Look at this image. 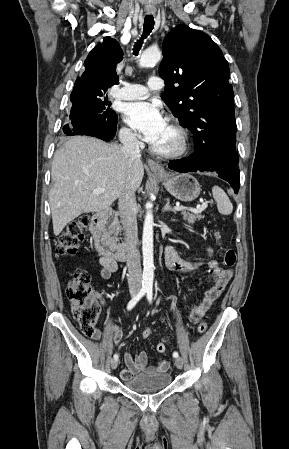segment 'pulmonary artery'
Here are the masks:
<instances>
[{
    "label": "pulmonary artery",
    "instance_id": "pulmonary-artery-1",
    "mask_svg": "<svg viewBox=\"0 0 289 449\" xmlns=\"http://www.w3.org/2000/svg\"><path fill=\"white\" fill-rule=\"evenodd\" d=\"M164 82L160 77H151L147 86L140 84L124 83L123 87L112 91V96L122 100L143 99L148 96L149 91L160 90Z\"/></svg>",
    "mask_w": 289,
    "mask_h": 449
}]
</instances>
